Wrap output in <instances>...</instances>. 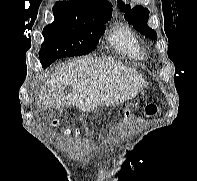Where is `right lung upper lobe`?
Masks as SVG:
<instances>
[{
	"instance_id": "right-lung-upper-lobe-1",
	"label": "right lung upper lobe",
	"mask_w": 197,
	"mask_h": 181,
	"mask_svg": "<svg viewBox=\"0 0 197 181\" xmlns=\"http://www.w3.org/2000/svg\"><path fill=\"white\" fill-rule=\"evenodd\" d=\"M55 17L76 19L85 16L112 14V6L106 0L61 1L53 7Z\"/></svg>"
}]
</instances>
